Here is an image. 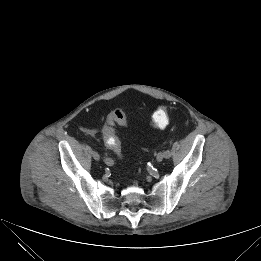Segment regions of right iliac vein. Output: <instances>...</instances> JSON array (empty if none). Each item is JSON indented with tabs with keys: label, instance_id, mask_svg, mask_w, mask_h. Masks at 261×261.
Segmentation results:
<instances>
[{
	"label": "right iliac vein",
	"instance_id": "right-iliac-vein-1",
	"mask_svg": "<svg viewBox=\"0 0 261 261\" xmlns=\"http://www.w3.org/2000/svg\"><path fill=\"white\" fill-rule=\"evenodd\" d=\"M91 156H92L93 160H95V161H100V159H101L99 153L96 151H92Z\"/></svg>",
	"mask_w": 261,
	"mask_h": 261
}]
</instances>
